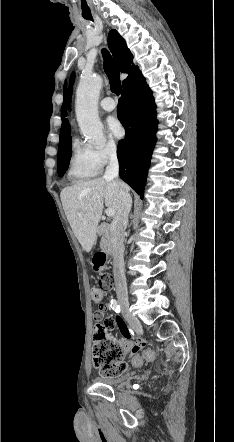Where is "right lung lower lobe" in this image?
<instances>
[{"label": "right lung lower lobe", "instance_id": "98d812e1", "mask_svg": "<svg viewBox=\"0 0 234 442\" xmlns=\"http://www.w3.org/2000/svg\"><path fill=\"white\" fill-rule=\"evenodd\" d=\"M155 109L152 91L141 72L123 84L117 113L126 135L119 141L117 147L119 174L123 181L141 195V198L156 142Z\"/></svg>", "mask_w": 234, "mask_h": 442}]
</instances>
